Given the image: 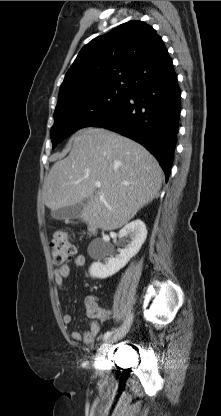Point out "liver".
<instances>
[{"label":"liver","mask_w":221,"mask_h":416,"mask_svg":"<svg viewBox=\"0 0 221 416\" xmlns=\"http://www.w3.org/2000/svg\"><path fill=\"white\" fill-rule=\"evenodd\" d=\"M71 141L69 155L52 166L43 185L44 203L52 211L85 201L81 220L108 231L158 196L162 169L139 143L93 127L79 130Z\"/></svg>","instance_id":"1"}]
</instances>
